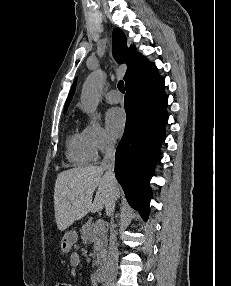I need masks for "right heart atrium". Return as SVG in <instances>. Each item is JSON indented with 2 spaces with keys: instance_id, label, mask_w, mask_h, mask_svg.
I'll return each mask as SVG.
<instances>
[{
  "instance_id": "obj_1",
  "label": "right heart atrium",
  "mask_w": 231,
  "mask_h": 286,
  "mask_svg": "<svg viewBox=\"0 0 231 286\" xmlns=\"http://www.w3.org/2000/svg\"><path fill=\"white\" fill-rule=\"evenodd\" d=\"M83 131L96 154L105 153L114 147L113 139L100 125L97 118H91Z\"/></svg>"
}]
</instances>
